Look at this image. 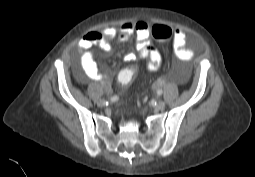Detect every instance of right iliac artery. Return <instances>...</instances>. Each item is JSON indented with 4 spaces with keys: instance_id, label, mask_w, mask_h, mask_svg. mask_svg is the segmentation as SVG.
Instances as JSON below:
<instances>
[{
    "instance_id": "right-iliac-artery-1",
    "label": "right iliac artery",
    "mask_w": 255,
    "mask_h": 177,
    "mask_svg": "<svg viewBox=\"0 0 255 177\" xmlns=\"http://www.w3.org/2000/svg\"><path fill=\"white\" fill-rule=\"evenodd\" d=\"M118 100V96H113V97H111V101L112 102H116Z\"/></svg>"
}]
</instances>
